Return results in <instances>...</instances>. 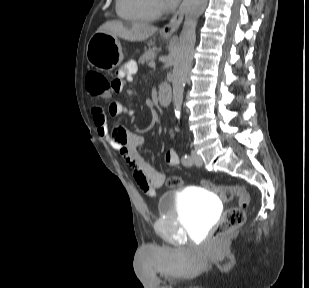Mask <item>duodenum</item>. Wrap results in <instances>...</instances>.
I'll list each match as a JSON object with an SVG mask.
<instances>
[{"mask_svg":"<svg viewBox=\"0 0 309 288\" xmlns=\"http://www.w3.org/2000/svg\"><path fill=\"white\" fill-rule=\"evenodd\" d=\"M159 104L162 107H168L172 102V91L167 84H161L158 96Z\"/></svg>","mask_w":309,"mask_h":288,"instance_id":"duodenum-1","label":"duodenum"}]
</instances>
